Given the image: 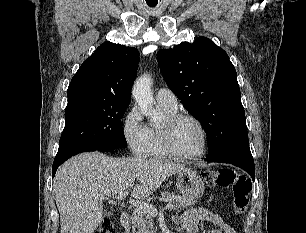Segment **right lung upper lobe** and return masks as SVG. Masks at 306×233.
I'll return each instance as SVG.
<instances>
[{"mask_svg":"<svg viewBox=\"0 0 306 233\" xmlns=\"http://www.w3.org/2000/svg\"><path fill=\"white\" fill-rule=\"evenodd\" d=\"M139 51L105 42L81 65L68 87V103L79 100L129 104Z\"/></svg>","mask_w":306,"mask_h":233,"instance_id":"1","label":"right lung upper lobe"}]
</instances>
